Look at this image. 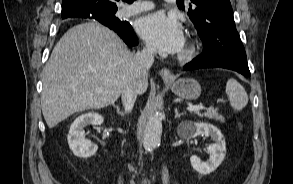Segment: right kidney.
Masks as SVG:
<instances>
[{
	"label": "right kidney",
	"mask_w": 293,
	"mask_h": 184,
	"mask_svg": "<svg viewBox=\"0 0 293 184\" xmlns=\"http://www.w3.org/2000/svg\"><path fill=\"white\" fill-rule=\"evenodd\" d=\"M104 118L94 112L82 114L72 123L67 136L68 144L75 156L80 158H89L93 156L98 146L85 139L84 127L92 125H101Z\"/></svg>",
	"instance_id": "right-kidney-1"
}]
</instances>
